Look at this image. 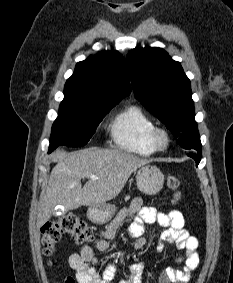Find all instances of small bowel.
<instances>
[{"instance_id": "obj_1", "label": "small bowel", "mask_w": 233, "mask_h": 283, "mask_svg": "<svg viewBox=\"0 0 233 283\" xmlns=\"http://www.w3.org/2000/svg\"><path fill=\"white\" fill-rule=\"evenodd\" d=\"M142 203L141 198H134L128 208L122 210L110 226L101 232L102 238L96 243V249L107 251L112 248V240L120 223L131 220L137 214L128 227V236L133 240V249L139 250L146 245L145 224L158 223L163 228L158 248L162 249L163 242H167L185 252V256L177 259L178 262L183 263V268L164 269L160 275V283L188 282L199 264L198 239L185 229L184 216L180 211L162 212L154 207H143ZM97 263L98 258L89 246L82 247L79 252L69 257V265L75 272L77 283H110L115 273V265H108L103 273L99 274L95 268ZM142 271L141 264L130 265L128 277L119 283H142Z\"/></svg>"}]
</instances>
